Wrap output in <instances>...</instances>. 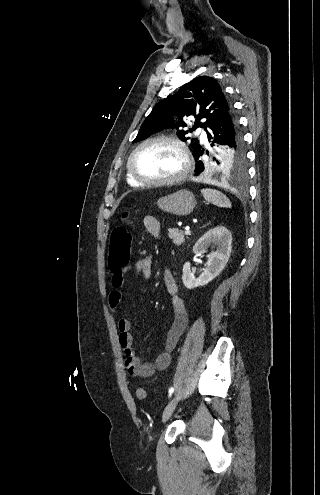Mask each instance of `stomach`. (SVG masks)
<instances>
[{
    "label": "stomach",
    "instance_id": "1",
    "mask_svg": "<svg viewBox=\"0 0 320 495\" xmlns=\"http://www.w3.org/2000/svg\"><path fill=\"white\" fill-rule=\"evenodd\" d=\"M195 204V197L188 190H179L157 201V205L162 211L179 216L192 213Z\"/></svg>",
    "mask_w": 320,
    "mask_h": 495
}]
</instances>
